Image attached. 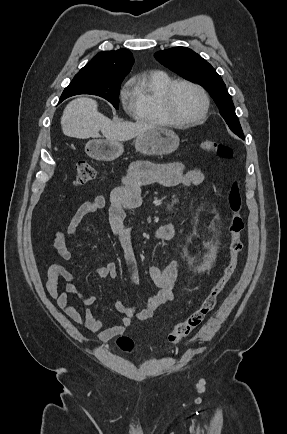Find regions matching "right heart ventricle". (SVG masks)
Segmentation results:
<instances>
[{"instance_id": "obj_1", "label": "right heart ventricle", "mask_w": 287, "mask_h": 434, "mask_svg": "<svg viewBox=\"0 0 287 434\" xmlns=\"http://www.w3.org/2000/svg\"><path fill=\"white\" fill-rule=\"evenodd\" d=\"M172 80L173 78L167 72L160 70L135 76L131 81V101L128 111L141 122L172 125L162 107L163 91Z\"/></svg>"}]
</instances>
